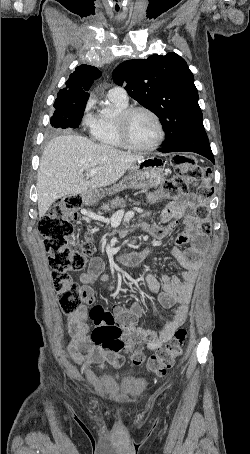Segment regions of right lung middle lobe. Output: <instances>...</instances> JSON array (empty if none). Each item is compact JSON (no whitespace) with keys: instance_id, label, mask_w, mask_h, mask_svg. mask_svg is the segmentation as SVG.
Segmentation results:
<instances>
[{"instance_id":"right-lung-middle-lobe-1","label":"right lung middle lobe","mask_w":250,"mask_h":454,"mask_svg":"<svg viewBox=\"0 0 250 454\" xmlns=\"http://www.w3.org/2000/svg\"><path fill=\"white\" fill-rule=\"evenodd\" d=\"M87 102L69 103L55 101V112L51 117L50 124L54 128H77L81 122Z\"/></svg>"}]
</instances>
